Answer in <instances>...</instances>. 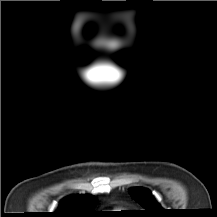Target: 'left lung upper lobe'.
I'll use <instances>...</instances> for the list:
<instances>
[{"instance_id":"obj_1","label":"left lung upper lobe","mask_w":217,"mask_h":217,"mask_svg":"<svg viewBox=\"0 0 217 217\" xmlns=\"http://www.w3.org/2000/svg\"><path fill=\"white\" fill-rule=\"evenodd\" d=\"M129 194L146 209V211H144L145 213L151 216H159L163 213L164 209L157 203L149 190L137 187L130 189Z\"/></svg>"}]
</instances>
